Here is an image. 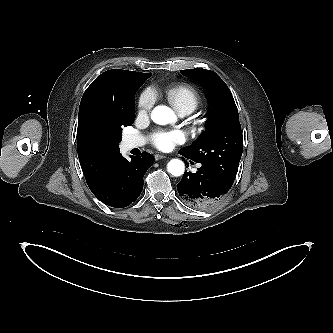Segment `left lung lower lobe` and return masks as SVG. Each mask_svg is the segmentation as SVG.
I'll use <instances>...</instances> for the list:
<instances>
[{
	"mask_svg": "<svg viewBox=\"0 0 333 333\" xmlns=\"http://www.w3.org/2000/svg\"><path fill=\"white\" fill-rule=\"evenodd\" d=\"M231 186L232 184L220 178L212 170L201 166L196 173H184L177 184V190L186 204L207 210L215 206Z\"/></svg>",
	"mask_w": 333,
	"mask_h": 333,
	"instance_id": "1",
	"label": "left lung lower lobe"
}]
</instances>
